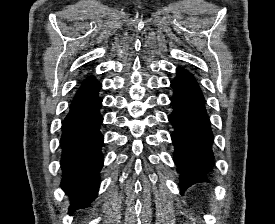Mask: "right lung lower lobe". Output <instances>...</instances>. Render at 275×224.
Instances as JSON below:
<instances>
[{
    "instance_id": "obj_1",
    "label": "right lung lower lobe",
    "mask_w": 275,
    "mask_h": 224,
    "mask_svg": "<svg viewBox=\"0 0 275 224\" xmlns=\"http://www.w3.org/2000/svg\"><path fill=\"white\" fill-rule=\"evenodd\" d=\"M101 87L94 77H88L75 94L62 123L61 187L71 201L69 212L89 206L98 193L104 140L100 132Z\"/></svg>"
}]
</instances>
